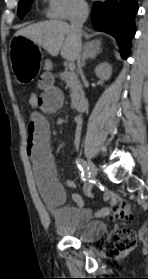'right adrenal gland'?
<instances>
[{
  "mask_svg": "<svg viewBox=\"0 0 148 279\" xmlns=\"http://www.w3.org/2000/svg\"><path fill=\"white\" fill-rule=\"evenodd\" d=\"M102 49L100 47V41H96L91 44H86L83 47L82 51V62H81V67L85 66V60L90 58V59H95L99 53H101Z\"/></svg>",
  "mask_w": 148,
  "mask_h": 279,
  "instance_id": "2a0ac1e0",
  "label": "right adrenal gland"
}]
</instances>
